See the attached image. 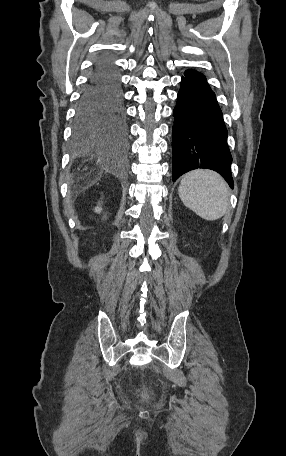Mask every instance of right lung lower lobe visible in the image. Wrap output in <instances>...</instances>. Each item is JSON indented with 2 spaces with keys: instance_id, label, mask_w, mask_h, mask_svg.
Wrapping results in <instances>:
<instances>
[{
  "instance_id": "obj_1",
  "label": "right lung lower lobe",
  "mask_w": 286,
  "mask_h": 456,
  "mask_svg": "<svg viewBox=\"0 0 286 456\" xmlns=\"http://www.w3.org/2000/svg\"><path fill=\"white\" fill-rule=\"evenodd\" d=\"M92 122L108 126L126 125L119 74L107 57H102L96 62L76 110L77 130ZM109 131L121 138L116 131Z\"/></svg>"
}]
</instances>
